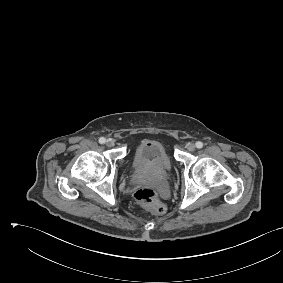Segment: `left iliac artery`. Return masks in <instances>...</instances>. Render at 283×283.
I'll return each instance as SVG.
<instances>
[{"instance_id": "44dca946", "label": "left iliac artery", "mask_w": 283, "mask_h": 283, "mask_svg": "<svg viewBox=\"0 0 283 283\" xmlns=\"http://www.w3.org/2000/svg\"><path fill=\"white\" fill-rule=\"evenodd\" d=\"M196 147H197L198 149H201V148L203 147V143L200 142V141L196 142Z\"/></svg>"}]
</instances>
